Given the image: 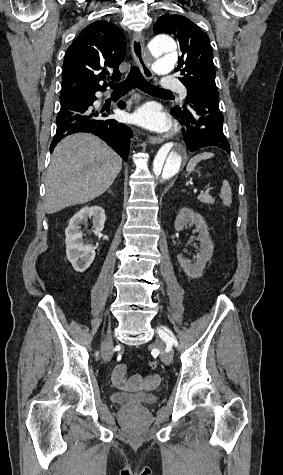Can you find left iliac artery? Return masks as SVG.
Instances as JSON below:
<instances>
[{
    "label": "left iliac artery",
    "mask_w": 283,
    "mask_h": 475,
    "mask_svg": "<svg viewBox=\"0 0 283 475\" xmlns=\"http://www.w3.org/2000/svg\"><path fill=\"white\" fill-rule=\"evenodd\" d=\"M164 329H165L166 331H168V332L174 337L173 333H172L169 329H167V328H164ZM165 341H166V340H165ZM173 341H174V345L177 346V341H175L174 339H173ZM166 342H167V341H166Z\"/></svg>",
    "instance_id": "44dca946"
}]
</instances>
